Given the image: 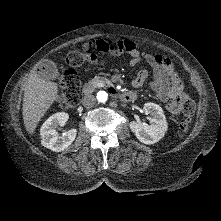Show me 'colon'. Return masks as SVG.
Segmentation results:
<instances>
[{
    "instance_id": "colon-1",
    "label": "colon",
    "mask_w": 221,
    "mask_h": 221,
    "mask_svg": "<svg viewBox=\"0 0 221 221\" xmlns=\"http://www.w3.org/2000/svg\"><path fill=\"white\" fill-rule=\"evenodd\" d=\"M96 60L97 56L87 51H71L66 56V63L70 67L94 63ZM58 81L62 88L59 105L62 108L76 106L82 98L81 83L77 73L72 69L67 70L59 77ZM195 108V103L192 100L184 102L182 118L179 121V135L184 134L189 129Z\"/></svg>"
}]
</instances>
